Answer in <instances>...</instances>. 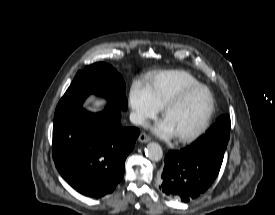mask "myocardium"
Listing matches in <instances>:
<instances>
[{"label":"myocardium","mask_w":275,"mask_h":215,"mask_svg":"<svg viewBox=\"0 0 275 215\" xmlns=\"http://www.w3.org/2000/svg\"><path fill=\"white\" fill-rule=\"evenodd\" d=\"M197 89H205L208 92V94L210 96V107H209V110H208L206 116L204 117L203 121L200 123V125L196 129H194L193 131H191L187 134L176 136L177 140L180 142H189V141L194 140L201 133H203L204 130L209 125V123L212 119V116L214 114L215 105H216L213 92L211 91V89L208 86L201 84V83L190 85V86H187V87L181 89L178 93H176L172 98H170L164 104V106L162 108V116H163V118H165V116L171 109H173L175 106H177L189 93H191Z\"/></svg>","instance_id":"f54148a6"}]
</instances>
